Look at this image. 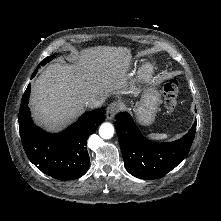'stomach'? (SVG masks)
Instances as JSON below:
<instances>
[{"instance_id":"obj_1","label":"stomach","mask_w":221,"mask_h":221,"mask_svg":"<svg viewBox=\"0 0 221 221\" xmlns=\"http://www.w3.org/2000/svg\"><path fill=\"white\" fill-rule=\"evenodd\" d=\"M160 104L159 91L153 85H147L143 90L140 101L134 108L138 122L142 125L153 123Z\"/></svg>"}]
</instances>
